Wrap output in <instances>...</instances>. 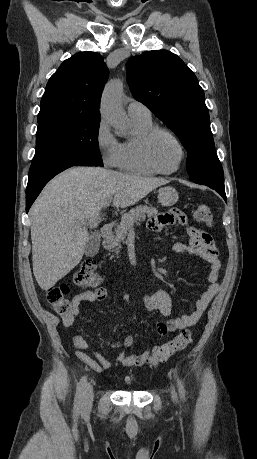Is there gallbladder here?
Wrapping results in <instances>:
<instances>
[{"instance_id":"1","label":"gallbladder","mask_w":257,"mask_h":459,"mask_svg":"<svg viewBox=\"0 0 257 459\" xmlns=\"http://www.w3.org/2000/svg\"><path fill=\"white\" fill-rule=\"evenodd\" d=\"M100 247V236L97 232L91 233L85 245L84 253L86 256H94L98 253Z\"/></svg>"}]
</instances>
